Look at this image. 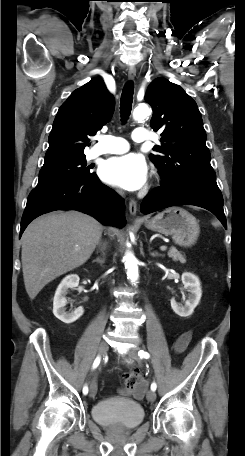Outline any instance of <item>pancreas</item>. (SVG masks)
Segmentation results:
<instances>
[{
    "instance_id": "obj_1",
    "label": "pancreas",
    "mask_w": 245,
    "mask_h": 456,
    "mask_svg": "<svg viewBox=\"0 0 245 456\" xmlns=\"http://www.w3.org/2000/svg\"><path fill=\"white\" fill-rule=\"evenodd\" d=\"M168 256L172 258L174 261H180L181 263H185L186 259L184 255L181 254L175 247H171L168 251Z\"/></svg>"
}]
</instances>
